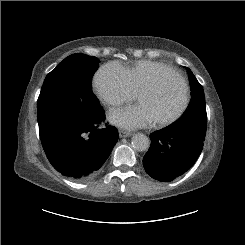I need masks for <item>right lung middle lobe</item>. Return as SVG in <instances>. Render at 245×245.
I'll use <instances>...</instances> for the list:
<instances>
[{
  "instance_id": "obj_1",
  "label": "right lung middle lobe",
  "mask_w": 245,
  "mask_h": 245,
  "mask_svg": "<svg viewBox=\"0 0 245 245\" xmlns=\"http://www.w3.org/2000/svg\"><path fill=\"white\" fill-rule=\"evenodd\" d=\"M98 62L92 56L72 54L46 76L37 101L40 135L56 126L88 121L101 113L91 91Z\"/></svg>"
}]
</instances>
